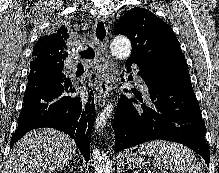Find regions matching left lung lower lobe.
Segmentation results:
<instances>
[{
  "label": "left lung lower lobe",
  "instance_id": "1",
  "mask_svg": "<svg viewBox=\"0 0 219 173\" xmlns=\"http://www.w3.org/2000/svg\"><path fill=\"white\" fill-rule=\"evenodd\" d=\"M133 63H137L138 74L150 90L151 103L140 105L135 99L120 98L113 122L115 151L164 139L186 145L200 154L209 166L205 124L190 79L167 82L164 70L132 60L126 62L127 72Z\"/></svg>",
  "mask_w": 219,
  "mask_h": 173
}]
</instances>
